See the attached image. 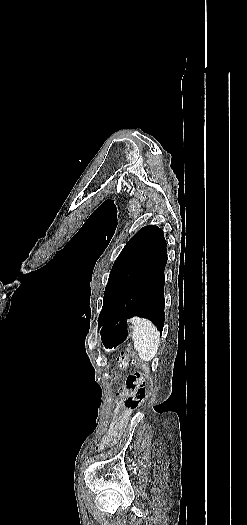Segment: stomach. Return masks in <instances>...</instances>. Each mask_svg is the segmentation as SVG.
Segmentation results:
<instances>
[{
	"instance_id": "0dacf381",
	"label": "stomach",
	"mask_w": 247,
	"mask_h": 525,
	"mask_svg": "<svg viewBox=\"0 0 247 525\" xmlns=\"http://www.w3.org/2000/svg\"><path fill=\"white\" fill-rule=\"evenodd\" d=\"M133 325L130 321L117 322L101 329L100 342L105 351H112L130 337Z\"/></svg>"
}]
</instances>
